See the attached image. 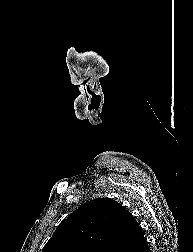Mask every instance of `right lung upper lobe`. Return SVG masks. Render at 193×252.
Returning a JSON list of instances; mask_svg holds the SVG:
<instances>
[{
  "label": "right lung upper lobe",
  "instance_id": "obj_1",
  "mask_svg": "<svg viewBox=\"0 0 193 252\" xmlns=\"http://www.w3.org/2000/svg\"><path fill=\"white\" fill-rule=\"evenodd\" d=\"M143 237L125 207L110 198H97L62 221L42 252H130Z\"/></svg>",
  "mask_w": 193,
  "mask_h": 252
}]
</instances>
